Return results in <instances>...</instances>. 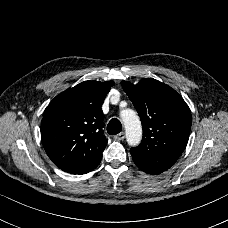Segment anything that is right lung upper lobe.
<instances>
[{
    "mask_svg": "<svg viewBox=\"0 0 228 228\" xmlns=\"http://www.w3.org/2000/svg\"><path fill=\"white\" fill-rule=\"evenodd\" d=\"M114 82L84 81L56 96L41 121V140L60 169L76 173L102 158L107 140L101 106Z\"/></svg>",
    "mask_w": 228,
    "mask_h": 228,
    "instance_id": "cb5924a9",
    "label": "right lung upper lobe"
}]
</instances>
